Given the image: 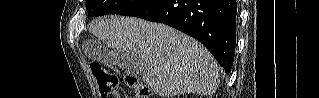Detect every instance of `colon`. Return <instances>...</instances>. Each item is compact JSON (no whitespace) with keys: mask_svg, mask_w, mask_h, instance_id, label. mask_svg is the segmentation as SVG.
<instances>
[{"mask_svg":"<svg viewBox=\"0 0 319 98\" xmlns=\"http://www.w3.org/2000/svg\"><path fill=\"white\" fill-rule=\"evenodd\" d=\"M91 72L96 79L102 98L119 97L117 90L119 79L117 75L107 72L97 63L91 65ZM125 82L133 89L134 98H149V89L137 77L128 75L125 77Z\"/></svg>","mask_w":319,"mask_h":98,"instance_id":"obj_1","label":"colon"}]
</instances>
